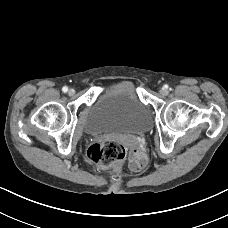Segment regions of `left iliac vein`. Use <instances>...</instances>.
Masks as SVG:
<instances>
[{
  "instance_id": "1",
  "label": "left iliac vein",
  "mask_w": 228,
  "mask_h": 228,
  "mask_svg": "<svg viewBox=\"0 0 228 228\" xmlns=\"http://www.w3.org/2000/svg\"><path fill=\"white\" fill-rule=\"evenodd\" d=\"M159 92H160V94L163 95V96H166V95L168 94V91H167V89H165V88L160 89Z\"/></svg>"
}]
</instances>
